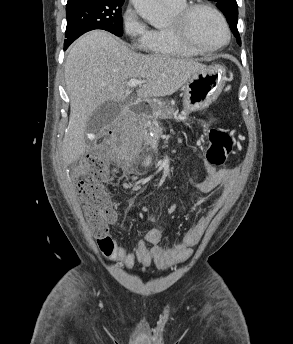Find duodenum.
I'll use <instances>...</instances> for the list:
<instances>
[{"label":"duodenum","instance_id":"obj_1","mask_svg":"<svg viewBox=\"0 0 293 344\" xmlns=\"http://www.w3.org/2000/svg\"><path fill=\"white\" fill-rule=\"evenodd\" d=\"M129 120V111H127L121 118H120V124H124Z\"/></svg>","mask_w":293,"mask_h":344}]
</instances>
